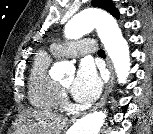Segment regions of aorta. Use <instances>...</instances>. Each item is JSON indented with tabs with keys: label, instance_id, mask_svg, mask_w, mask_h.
Wrapping results in <instances>:
<instances>
[{
	"label": "aorta",
	"instance_id": "aorta-1",
	"mask_svg": "<svg viewBox=\"0 0 153 134\" xmlns=\"http://www.w3.org/2000/svg\"><path fill=\"white\" fill-rule=\"evenodd\" d=\"M96 30L105 50L113 62L119 83H125L130 71V53L117 22L97 9H87L76 14L65 26L67 39H78ZM56 72L64 74L74 71L69 62L54 65ZM105 111H96L79 119L72 127V134H99L105 122Z\"/></svg>",
	"mask_w": 153,
	"mask_h": 134
}]
</instances>
